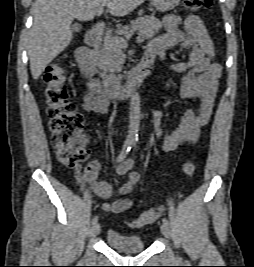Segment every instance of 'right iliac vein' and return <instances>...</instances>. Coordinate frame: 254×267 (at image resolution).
Wrapping results in <instances>:
<instances>
[{
  "label": "right iliac vein",
  "instance_id": "right-iliac-vein-1",
  "mask_svg": "<svg viewBox=\"0 0 254 267\" xmlns=\"http://www.w3.org/2000/svg\"><path fill=\"white\" fill-rule=\"evenodd\" d=\"M99 233H100V224L96 222L92 226L91 235L92 236H97Z\"/></svg>",
  "mask_w": 254,
  "mask_h": 267
}]
</instances>
